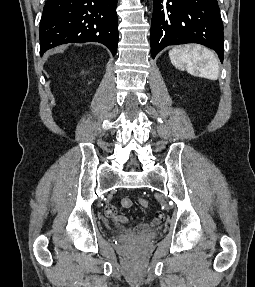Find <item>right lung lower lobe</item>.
<instances>
[{"label": "right lung lower lobe", "mask_w": 255, "mask_h": 287, "mask_svg": "<svg viewBox=\"0 0 255 287\" xmlns=\"http://www.w3.org/2000/svg\"><path fill=\"white\" fill-rule=\"evenodd\" d=\"M117 0H48L40 21V54L65 43L99 42L114 56Z\"/></svg>", "instance_id": "obj_1"}]
</instances>
